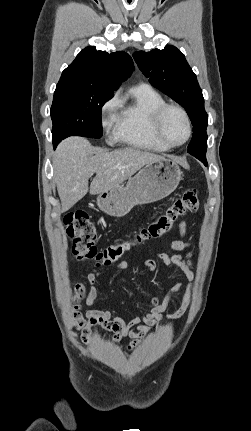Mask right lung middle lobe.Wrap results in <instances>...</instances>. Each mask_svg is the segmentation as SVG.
<instances>
[{"label":"right lung middle lobe","mask_w":251,"mask_h":431,"mask_svg":"<svg viewBox=\"0 0 251 431\" xmlns=\"http://www.w3.org/2000/svg\"><path fill=\"white\" fill-rule=\"evenodd\" d=\"M113 94L73 84H57L51 107L52 137L59 143L72 136L100 138L101 109Z\"/></svg>","instance_id":"right-lung-middle-lobe-1"}]
</instances>
